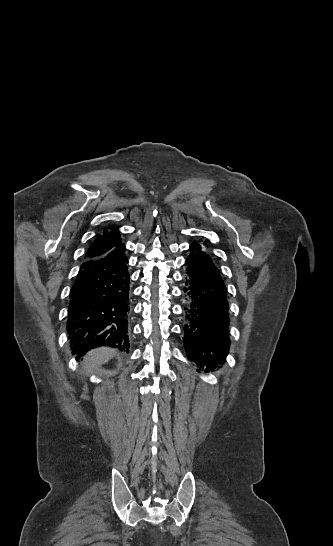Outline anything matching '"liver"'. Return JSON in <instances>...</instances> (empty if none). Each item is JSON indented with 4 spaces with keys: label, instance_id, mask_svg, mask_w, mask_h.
<instances>
[{
    "label": "liver",
    "instance_id": "liver-1",
    "mask_svg": "<svg viewBox=\"0 0 333 546\" xmlns=\"http://www.w3.org/2000/svg\"><path fill=\"white\" fill-rule=\"evenodd\" d=\"M114 355V350L110 348H98L90 351L85 357L86 374H91L100 365L108 362Z\"/></svg>",
    "mask_w": 333,
    "mask_h": 546
}]
</instances>
